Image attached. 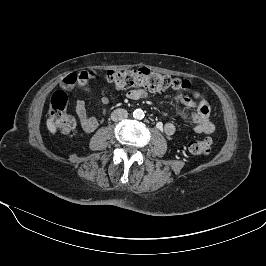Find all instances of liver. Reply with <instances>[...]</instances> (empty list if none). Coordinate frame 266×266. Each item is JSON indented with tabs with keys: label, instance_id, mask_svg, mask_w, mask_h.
Returning a JSON list of instances; mask_svg holds the SVG:
<instances>
[{
	"label": "liver",
	"instance_id": "liver-1",
	"mask_svg": "<svg viewBox=\"0 0 266 266\" xmlns=\"http://www.w3.org/2000/svg\"><path fill=\"white\" fill-rule=\"evenodd\" d=\"M46 125H47L48 130L52 134H55L57 132L56 126H55L54 122L51 119H47Z\"/></svg>",
	"mask_w": 266,
	"mask_h": 266
}]
</instances>
